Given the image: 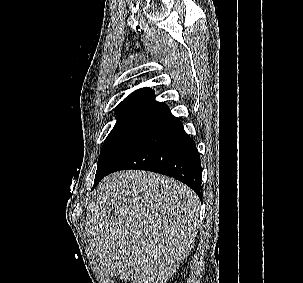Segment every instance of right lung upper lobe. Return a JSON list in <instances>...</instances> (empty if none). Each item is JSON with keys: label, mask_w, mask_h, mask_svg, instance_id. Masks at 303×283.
<instances>
[{"label": "right lung upper lobe", "mask_w": 303, "mask_h": 283, "mask_svg": "<svg viewBox=\"0 0 303 283\" xmlns=\"http://www.w3.org/2000/svg\"><path fill=\"white\" fill-rule=\"evenodd\" d=\"M169 111L163 102L155 100L154 92L150 88H141L130 94L116 108L118 117L150 116L159 117Z\"/></svg>", "instance_id": "obj_1"}]
</instances>
